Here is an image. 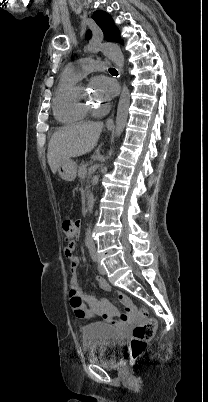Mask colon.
Instances as JSON below:
<instances>
[{"mask_svg": "<svg viewBox=\"0 0 208 402\" xmlns=\"http://www.w3.org/2000/svg\"><path fill=\"white\" fill-rule=\"evenodd\" d=\"M78 222L70 217H66L62 222V233L66 241L70 242L75 234V224ZM74 313L78 316L85 315L83 312L84 304L80 296L74 295L70 299ZM146 315V311L142 312ZM158 321L156 318H145L143 324H139L132 331L131 351L133 359L139 358L145 351L147 342L150 341L157 331Z\"/></svg>", "mask_w": 208, "mask_h": 402, "instance_id": "colon-1", "label": "colon"}]
</instances>
